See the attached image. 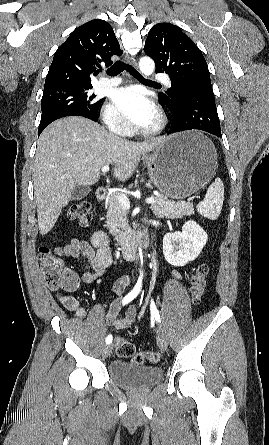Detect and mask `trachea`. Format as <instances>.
<instances>
[{
	"label": "trachea",
	"mask_w": 269,
	"mask_h": 445,
	"mask_svg": "<svg viewBox=\"0 0 269 445\" xmlns=\"http://www.w3.org/2000/svg\"><path fill=\"white\" fill-rule=\"evenodd\" d=\"M124 69H126L133 77L146 82H153L151 80L145 79L141 74H139L133 67H131L128 64H125L122 61L115 62L108 70L107 73L110 76H117L120 74Z\"/></svg>",
	"instance_id": "trachea-1"
}]
</instances>
